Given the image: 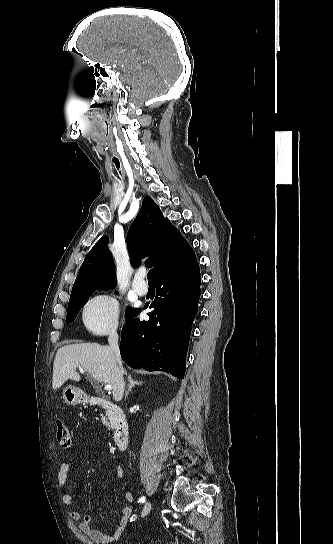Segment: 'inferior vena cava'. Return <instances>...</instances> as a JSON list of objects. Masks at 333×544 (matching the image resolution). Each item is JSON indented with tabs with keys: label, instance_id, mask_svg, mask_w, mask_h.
<instances>
[{
	"label": "inferior vena cava",
	"instance_id": "1",
	"mask_svg": "<svg viewBox=\"0 0 333 544\" xmlns=\"http://www.w3.org/2000/svg\"><path fill=\"white\" fill-rule=\"evenodd\" d=\"M108 343L110 345V348L114 351L115 353V356H116V360H117V364H118V368H119V372L121 375L124 374V370H123V367H122V362H121V357H120V351H119V344H118V334L116 331H112L110 334H109V337H108Z\"/></svg>",
	"mask_w": 333,
	"mask_h": 544
}]
</instances>
